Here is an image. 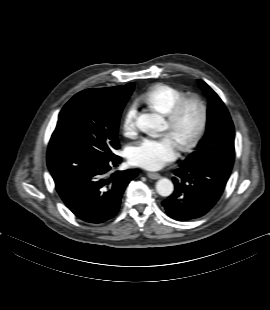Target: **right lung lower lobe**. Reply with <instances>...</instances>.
Instances as JSON below:
<instances>
[{"label": "right lung lower lobe", "mask_w": 270, "mask_h": 310, "mask_svg": "<svg viewBox=\"0 0 270 310\" xmlns=\"http://www.w3.org/2000/svg\"><path fill=\"white\" fill-rule=\"evenodd\" d=\"M121 158L101 157L71 150L48 151L47 165L65 205L79 219L93 224L113 218L136 169L108 175Z\"/></svg>", "instance_id": "98d812e1"}]
</instances>
